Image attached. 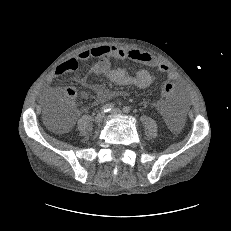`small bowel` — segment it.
Instances as JSON below:
<instances>
[{
  "instance_id": "1",
  "label": "small bowel",
  "mask_w": 231,
  "mask_h": 231,
  "mask_svg": "<svg viewBox=\"0 0 231 231\" xmlns=\"http://www.w3.org/2000/svg\"><path fill=\"white\" fill-rule=\"evenodd\" d=\"M91 58H96L98 60L90 68L89 74L91 76L105 75L112 83L118 86L146 88L152 83L153 77L145 69L130 71L125 68H114L112 66L113 59H129L149 67L157 68L162 73H168L169 80L174 81L177 79V76L170 72V67L167 63L159 60L157 57L147 52H142L135 49L124 50L115 46L103 45L83 50L76 57L69 58L58 64L54 68L51 75L47 78L46 83H51L54 78L59 77L66 72L76 71L79 67V62L86 61ZM78 82L83 85L86 84V80L84 78L78 79ZM66 89L74 88L69 87ZM114 96L115 92L108 89H102L98 92L97 101L104 102L112 99ZM157 108L172 126H176L178 114L172 103L167 104L164 101H160L157 104ZM73 120L74 118L70 117L67 122V127L73 123Z\"/></svg>"
}]
</instances>
